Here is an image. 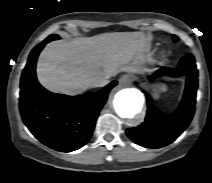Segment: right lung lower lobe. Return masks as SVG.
Returning a JSON list of instances; mask_svg holds the SVG:
<instances>
[{
  "instance_id": "1",
  "label": "right lung lower lobe",
  "mask_w": 212,
  "mask_h": 183,
  "mask_svg": "<svg viewBox=\"0 0 212 183\" xmlns=\"http://www.w3.org/2000/svg\"><path fill=\"white\" fill-rule=\"evenodd\" d=\"M50 41L48 37L29 55L21 77L20 113L25 125L40 142L54 150L70 152L90 139L99 111L117 81L95 93L79 96L49 92L38 83L35 66L40 51Z\"/></svg>"
}]
</instances>
